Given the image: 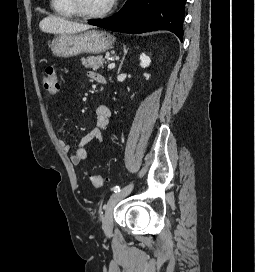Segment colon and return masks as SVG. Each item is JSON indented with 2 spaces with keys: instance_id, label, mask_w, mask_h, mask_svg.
Here are the masks:
<instances>
[{
  "instance_id": "obj_1",
  "label": "colon",
  "mask_w": 255,
  "mask_h": 272,
  "mask_svg": "<svg viewBox=\"0 0 255 272\" xmlns=\"http://www.w3.org/2000/svg\"><path fill=\"white\" fill-rule=\"evenodd\" d=\"M44 90L49 94H57L60 90V78L57 70L53 66H48L45 69L42 78ZM91 184L94 187H102L105 184V178L101 175H94L90 178Z\"/></svg>"
}]
</instances>
